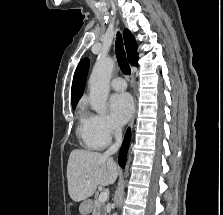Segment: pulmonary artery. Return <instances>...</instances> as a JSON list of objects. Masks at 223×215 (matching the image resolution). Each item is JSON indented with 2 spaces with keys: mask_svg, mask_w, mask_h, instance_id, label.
Listing matches in <instances>:
<instances>
[{
  "mask_svg": "<svg viewBox=\"0 0 223 215\" xmlns=\"http://www.w3.org/2000/svg\"><path fill=\"white\" fill-rule=\"evenodd\" d=\"M110 86L114 90H124L127 87V83H126V81L123 78L116 77V78H114V79L111 80Z\"/></svg>",
  "mask_w": 223,
  "mask_h": 215,
  "instance_id": "pulmonary-artery-1",
  "label": "pulmonary artery"
}]
</instances>
